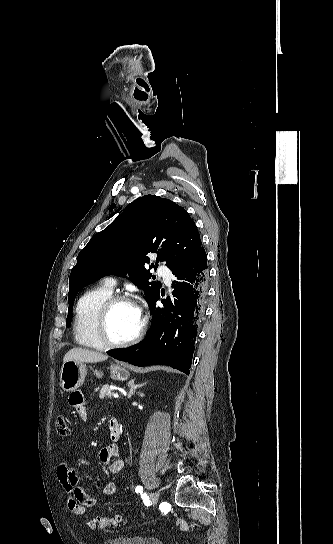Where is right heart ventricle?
Instances as JSON below:
<instances>
[{
	"label": "right heart ventricle",
	"mask_w": 333,
	"mask_h": 544,
	"mask_svg": "<svg viewBox=\"0 0 333 544\" xmlns=\"http://www.w3.org/2000/svg\"><path fill=\"white\" fill-rule=\"evenodd\" d=\"M112 295V290L104 285L86 291L75 308L73 334L77 344L102 349L104 346L96 335V317L101 305Z\"/></svg>",
	"instance_id": "e07e8e85"
}]
</instances>
